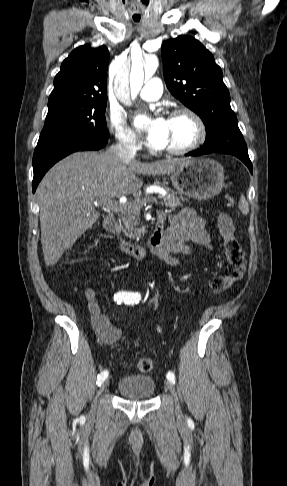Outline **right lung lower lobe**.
I'll use <instances>...</instances> for the list:
<instances>
[{
  "label": "right lung lower lobe",
  "instance_id": "obj_1",
  "mask_svg": "<svg viewBox=\"0 0 287 486\" xmlns=\"http://www.w3.org/2000/svg\"><path fill=\"white\" fill-rule=\"evenodd\" d=\"M107 139L103 141L67 142L51 146L36 147L33 155V192H35L47 170L57 161L76 151L99 150L107 144Z\"/></svg>",
  "mask_w": 287,
  "mask_h": 486
}]
</instances>
